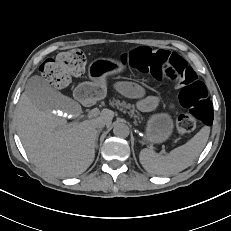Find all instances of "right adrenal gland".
I'll return each mask as SVG.
<instances>
[{"instance_id": "2a0ac1e0", "label": "right adrenal gland", "mask_w": 231, "mask_h": 231, "mask_svg": "<svg viewBox=\"0 0 231 231\" xmlns=\"http://www.w3.org/2000/svg\"><path fill=\"white\" fill-rule=\"evenodd\" d=\"M100 132H101V129L97 131V138H96V143H95L96 148L98 147V137H99Z\"/></svg>"}]
</instances>
